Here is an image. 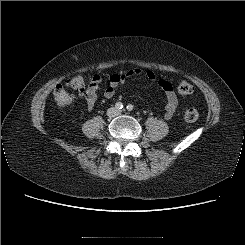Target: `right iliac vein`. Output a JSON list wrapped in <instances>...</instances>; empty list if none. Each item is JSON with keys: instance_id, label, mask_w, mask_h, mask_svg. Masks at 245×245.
Here are the masks:
<instances>
[{"instance_id": "obj_1", "label": "right iliac vein", "mask_w": 245, "mask_h": 245, "mask_svg": "<svg viewBox=\"0 0 245 245\" xmlns=\"http://www.w3.org/2000/svg\"><path fill=\"white\" fill-rule=\"evenodd\" d=\"M110 114L111 115L115 114V110L114 109L110 110Z\"/></svg>"}]
</instances>
